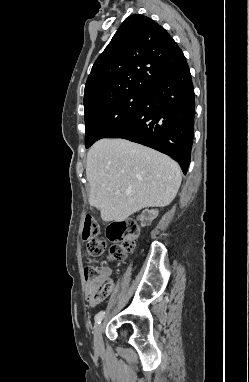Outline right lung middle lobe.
Returning <instances> with one entry per match:
<instances>
[{"label": "right lung middle lobe", "mask_w": 249, "mask_h": 382, "mask_svg": "<svg viewBox=\"0 0 249 382\" xmlns=\"http://www.w3.org/2000/svg\"><path fill=\"white\" fill-rule=\"evenodd\" d=\"M146 97L147 92H133L85 108L86 148L128 122L141 109Z\"/></svg>", "instance_id": "obj_1"}]
</instances>
